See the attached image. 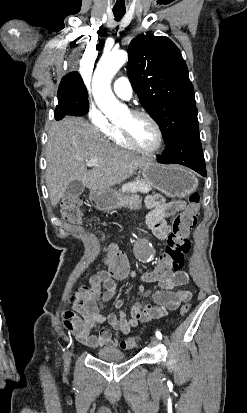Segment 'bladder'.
<instances>
[{"instance_id":"31cf9c89","label":"bladder","mask_w":247,"mask_h":413,"mask_svg":"<svg viewBox=\"0 0 247 413\" xmlns=\"http://www.w3.org/2000/svg\"><path fill=\"white\" fill-rule=\"evenodd\" d=\"M96 358L108 361L127 360L128 354L122 353L118 347H109L106 349H99L96 352Z\"/></svg>"}]
</instances>
